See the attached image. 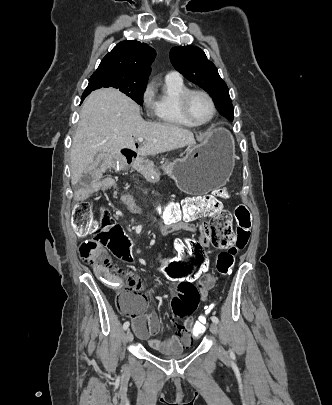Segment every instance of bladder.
Instances as JSON below:
<instances>
[{
  "label": "bladder",
  "mask_w": 332,
  "mask_h": 405,
  "mask_svg": "<svg viewBox=\"0 0 332 405\" xmlns=\"http://www.w3.org/2000/svg\"><path fill=\"white\" fill-rule=\"evenodd\" d=\"M158 353L166 358H178L184 355L183 350L178 348L160 350Z\"/></svg>",
  "instance_id": "bladder-1"
}]
</instances>
